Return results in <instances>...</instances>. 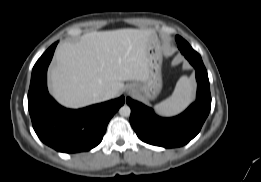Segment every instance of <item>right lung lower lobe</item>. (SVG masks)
<instances>
[{"instance_id": "obj_1", "label": "right lung lower lobe", "mask_w": 261, "mask_h": 182, "mask_svg": "<svg viewBox=\"0 0 261 182\" xmlns=\"http://www.w3.org/2000/svg\"><path fill=\"white\" fill-rule=\"evenodd\" d=\"M56 45L57 42L45 51L32 70L28 109L33 128L42 142L59 152L88 151L102 141L108 122L125 98L79 110L60 106L47 90V68Z\"/></svg>"}]
</instances>
